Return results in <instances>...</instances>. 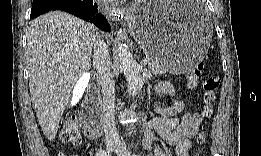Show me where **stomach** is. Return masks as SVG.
I'll return each instance as SVG.
<instances>
[{"instance_id": "stomach-1", "label": "stomach", "mask_w": 261, "mask_h": 156, "mask_svg": "<svg viewBox=\"0 0 261 156\" xmlns=\"http://www.w3.org/2000/svg\"><path fill=\"white\" fill-rule=\"evenodd\" d=\"M126 21L140 47L172 73L187 72L210 46L212 24L193 2H136Z\"/></svg>"}]
</instances>
